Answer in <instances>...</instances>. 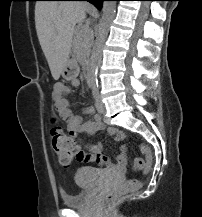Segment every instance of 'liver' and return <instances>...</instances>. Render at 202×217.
Segmentation results:
<instances>
[{"label": "liver", "mask_w": 202, "mask_h": 217, "mask_svg": "<svg viewBox=\"0 0 202 217\" xmlns=\"http://www.w3.org/2000/svg\"><path fill=\"white\" fill-rule=\"evenodd\" d=\"M91 10L82 2H38L35 5L37 36L51 74L58 80L71 52L76 24L86 19Z\"/></svg>", "instance_id": "obj_1"}]
</instances>
